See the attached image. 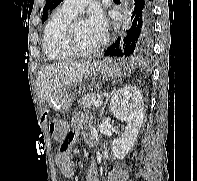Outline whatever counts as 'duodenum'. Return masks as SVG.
Wrapping results in <instances>:
<instances>
[{"instance_id":"duodenum-1","label":"duodenum","mask_w":197,"mask_h":181,"mask_svg":"<svg viewBox=\"0 0 197 181\" xmlns=\"http://www.w3.org/2000/svg\"><path fill=\"white\" fill-rule=\"evenodd\" d=\"M87 140L90 144H94V138L93 137H88Z\"/></svg>"}]
</instances>
